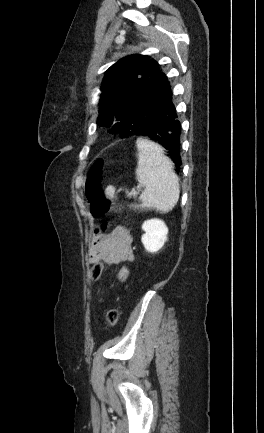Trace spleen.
I'll return each instance as SVG.
<instances>
[{
	"label": "spleen",
	"mask_w": 264,
	"mask_h": 433,
	"mask_svg": "<svg viewBox=\"0 0 264 433\" xmlns=\"http://www.w3.org/2000/svg\"><path fill=\"white\" fill-rule=\"evenodd\" d=\"M136 145V175L144 190L140 195L141 204L134 207L169 212L177 204L180 194L179 179L173 171V163L164 155L162 147L153 141L138 138ZM115 191L111 185L106 188L110 198L115 197Z\"/></svg>",
	"instance_id": "3e777b00"
}]
</instances>
